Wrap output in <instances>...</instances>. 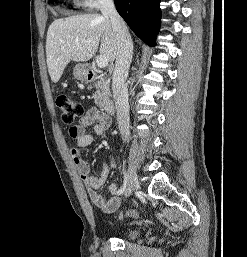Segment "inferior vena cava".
Returning <instances> with one entry per match:
<instances>
[{
  "instance_id": "inferior-vena-cava-1",
  "label": "inferior vena cava",
  "mask_w": 247,
  "mask_h": 257,
  "mask_svg": "<svg viewBox=\"0 0 247 257\" xmlns=\"http://www.w3.org/2000/svg\"><path fill=\"white\" fill-rule=\"evenodd\" d=\"M101 13L110 18L117 41L115 70L112 77V90L119 131L124 142L129 141L130 118L128 90L125 81L133 56V44L128 28L116 11L113 0H101Z\"/></svg>"
}]
</instances>
